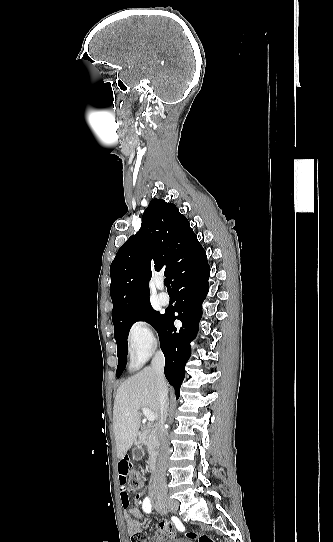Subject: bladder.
<instances>
[{"label": "bladder", "mask_w": 333, "mask_h": 542, "mask_svg": "<svg viewBox=\"0 0 333 542\" xmlns=\"http://www.w3.org/2000/svg\"><path fill=\"white\" fill-rule=\"evenodd\" d=\"M168 542H193L192 539H181V538H174Z\"/></svg>", "instance_id": "31cf9c89"}]
</instances>
